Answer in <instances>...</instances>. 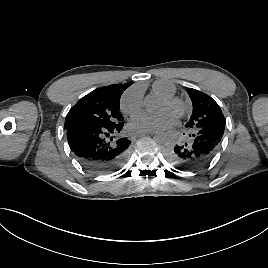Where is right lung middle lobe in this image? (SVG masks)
<instances>
[{
  "label": "right lung middle lobe",
  "mask_w": 268,
  "mask_h": 268,
  "mask_svg": "<svg viewBox=\"0 0 268 268\" xmlns=\"http://www.w3.org/2000/svg\"><path fill=\"white\" fill-rule=\"evenodd\" d=\"M120 94L101 88L81 98L68 112L65 129L72 125L111 127L124 120L120 110Z\"/></svg>",
  "instance_id": "dd1d6c3e"
}]
</instances>
